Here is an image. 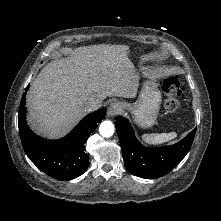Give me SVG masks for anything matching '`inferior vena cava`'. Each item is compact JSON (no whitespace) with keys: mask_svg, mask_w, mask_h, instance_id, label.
<instances>
[{"mask_svg":"<svg viewBox=\"0 0 221 221\" xmlns=\"http://www.w3.org/2000/svg\"><path fill=\"white\" fill-rule=\"evenodd\" d=\"M101 101L98 99H91L88 101L87 105H86V109L87 111H91L94 110L96 108H98L100 106Z\"/></svg>","mask_w":221,"mask_h":221,"instance_id":"602c4592","label":"inferior vena cava"}]
</instances>
